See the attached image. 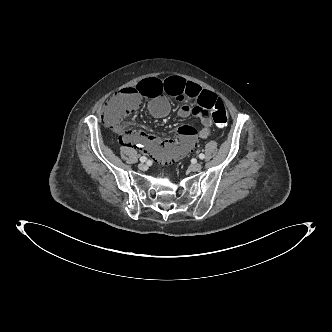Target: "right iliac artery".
Segmentation results:
<instances>
[{"label":"right iliac artery","instance_id":"82829eb1","mask_svg":"<svg viewBox=\"0 0 332 332\" xmlns=\"http://www.w3.org/2000/svg\"><path fill=\"white\" fill-rule=\"evenodd\" d=\"M140 161H141L142 163H144V162L147 161V158H146L145 156H142V157L140 158Z\"/></svg>","mask_w":332,"mask_h":332}]
</instances>
